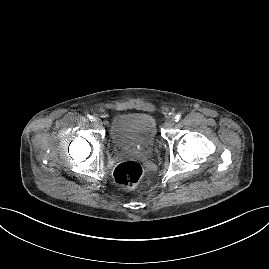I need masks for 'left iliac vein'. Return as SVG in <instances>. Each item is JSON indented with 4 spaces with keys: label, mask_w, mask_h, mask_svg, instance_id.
I'll return each instance as SVG.
<instances>
[{
    "label": "left iliac vein",
    "mask_w": 269,
    "mask_h": 269,
    "mask_svg": "<svg viewBox=\"0 0 269 269\" xmlns=\"http://www.w3.org/2000/svg\"><path fill=\"white\" fill-rule=\"evenodd\" d=\"M175 124V120L170 118V119H167L165 124H164V127L169 129L171 128L173 125Z\"/></svg>",
    "instance_id": "left-iliac-vein-1"
}]
</instances>
